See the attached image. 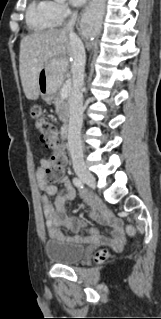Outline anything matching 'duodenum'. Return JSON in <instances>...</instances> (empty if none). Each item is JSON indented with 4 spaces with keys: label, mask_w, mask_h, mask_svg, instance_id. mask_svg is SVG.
Segmentation results:
<instances>
[{
    "label": "duodenum",
    "mask_w": 161,
    "mask_h": 319,
    "mask_svg": "<svg viewBox=\"0 0 161 319\" xmlns=\"http://www.w3.org/2000/svg\"><path fill=\"white\" fill-rule=\"evenodd\" d=\"M62 136L65 141L70 139V125L68 123L63 124L62 126Z\"/></svg>",
    "instance_id": "obj_1"
}]
</instances>
